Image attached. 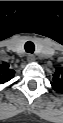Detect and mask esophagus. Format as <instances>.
<instances>
[{"label":"esophagus","instance_id":"34e87169","mask_svg":"<svg viewBox=\"0 0 63 123\" xmlns=\"http://www.w3.org/2000/svg\"><path fill=\"white\" fill-rule=\"evenodd\" d=\"M28 61L34 62L36 60L35 56L33 54H29L27 57Z\"/></svg>","mask_w":63,"mask_h":123}]
</instances>
